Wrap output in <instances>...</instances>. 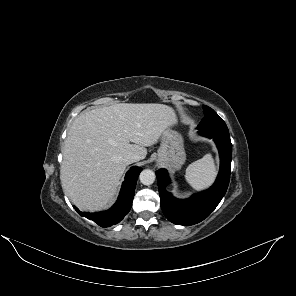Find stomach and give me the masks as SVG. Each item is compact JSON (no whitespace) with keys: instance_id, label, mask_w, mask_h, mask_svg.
<instances>
[{"instance_id":"0dacf381","label":"stomach","mask_w":296,"mask_h":296,"mask_svg":"<svg viewBox=\"0 0 296 296\" xmlns=\"http://www.w3.org/2000/svg\"><path fill=\"white\" fill-rule=\"evenodd\" d=\"M185 160L186 154L181 134L173 130H166L161 137L157 162L172 170H179Z\"/></svg>"}]
</instances>
